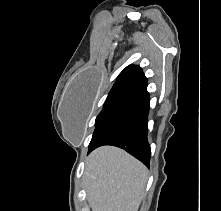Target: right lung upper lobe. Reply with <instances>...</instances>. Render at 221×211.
Instances as JSON below:
<instances>
[{
	"label": "right lung upper lobe",
	"instance_id": "1",
	"mask_svg": "<svg viewBox=\"0 0 221 211\" xmlns=\"http://www.w3.org/2000/svg\"><path fill=\"white\" fill-rule=\"evenodd\" d=\"M147 87V79L139 66L130 65L118 76L110 92L133 90L139 92Z\"/></svg>",
	"mask_w": 221,
	"mask_h": 211
}]
</instances>
